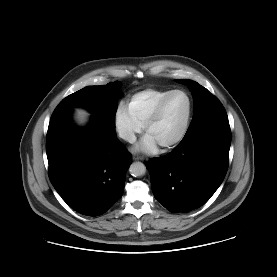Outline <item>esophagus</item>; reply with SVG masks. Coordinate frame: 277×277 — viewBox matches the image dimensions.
<instances>
[{"instance_id": "34e87169", "label": "esophagus", "mask_w": 277, "mask_h": 277, "mask_svg": "<svg viewBox=\"0 0 277 277\" xmlns=\"http://www.w3.org/2000/svg\"><path fill=\"white\" fill-rule=\"evenodd\" d=\"M133 159L134 160H141V161H143L145 158L143 156H140V155H134Z\"/></svg>"}]
</instances>
